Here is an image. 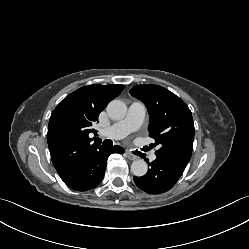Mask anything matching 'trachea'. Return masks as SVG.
Listing matches in <instances>:
<instances>
[{"mask_svg":"<svg viewBox=\"0 0 249 249\" xmlns=\"http://www.w3.org/2000/svg\"><path fill=\"white\" fill-rule=\"evenodd\" d=\"M103 144L106 145V146H112V141L109 140V139H107V140H105V141L103 142Z\"/></svg>","mask_w":249,"mask_h":249,"instance_id":"1","label":"trachea"}]
</instances>
